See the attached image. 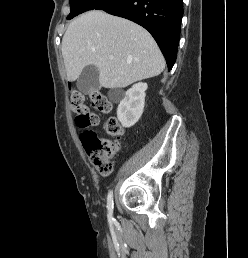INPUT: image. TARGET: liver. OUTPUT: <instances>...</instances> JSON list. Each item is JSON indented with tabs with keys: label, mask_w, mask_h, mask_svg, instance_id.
<instances>
[{
	"label": "liver",
	"mask_w": 248,
	"mask_h": 258,
	"mask_svg": "<svg viewBox=\"0 0 248 258\" xmlns=\"http://www.w3.org/2000/svg\"><path fill=\"white\" fill-rule=\"evenodd\" d=\"M61 50L69 81L78 79L86 66L94 65L100 85L110 89L155 77L165 68L164 57L148 31L99 10L70 23Z\"/></svg>",
	"instance_id": "6515ba94"
}]
</instances>
